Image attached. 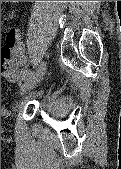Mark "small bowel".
<instances>
[{
    "label": "small bowel",
    "instance_id": "small-bowel-1",
    "mask_svg": "<svg viewBox=\"0 0 121 169\" xmlns=\"http://www.w3.org/2000/svg\"><path fill=\"white\" fill-rule=\"evenodd\" d=\"M27 63L24 45L19 39L17 29L12 28L7 34L5 44L1 47V75L10 81L19 80L27 71L23 69Z\"/></svg>",
    "mask_w": 121,
    "mask_h": 169
}]
</instances>
